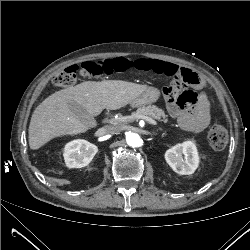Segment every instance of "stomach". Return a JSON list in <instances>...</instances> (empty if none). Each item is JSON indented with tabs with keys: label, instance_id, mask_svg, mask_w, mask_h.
Segmentation results:
<instances>
[{
	"label": "stomach",
	"instance_id": "obj_1",
	"mask_svg": "<svg viewBox=\"0 0 250 250\" xmlns=\"http://www.w3.org/2000/svg\"><path fill=\"white\" fill-rule=\"evenodd\" d=\"M160 97V91L157 88L149 87L136 99L131 102V106L139 107L156 102Z\"/></svg>",
	"mask_w": 250,
	"mask_h": 250
}]
</instances>
